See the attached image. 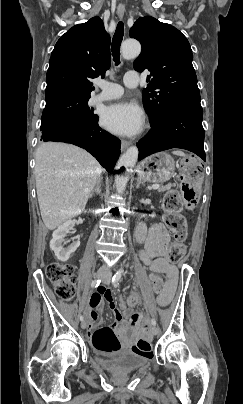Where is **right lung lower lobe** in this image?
<instances>
[{
  "label": "right lung lower lobe",
  "mask_w": 243,
  "mask_h": 404,
  "mask_svg": "<svg viewBox=\"0 0 243 404\" xmlns=\"http://www.w3.org/2000/svg\"><path fill=\"white\" fill-rule=\"evenodd\" d=\"M40 140L71 143L84 148L109 173L113 172L120 155V140L101 130L95 119L62 117L41 129Z\"/></svg>",
  "instance_id": "obj_1"
}]
</instances>
